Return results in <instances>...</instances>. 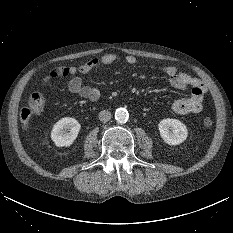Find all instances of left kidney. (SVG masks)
<instances>
[{
    "instance_id": "obj_1",
    "label": "left kidney",
    "mask_w": 233,
    "mask_h": 233,
    "mask_svg": "<svg viewBox=\"0 0 233 233\" xmlns=\"http://www.w3.org/2000/svg\"><path fill=\"white\" fill-rule=\"evenodd\" d=\"M161 138L169 145H179L188 137V130L180 120L166 118L158 124Z\"/></svg>"
}]
</instances>
